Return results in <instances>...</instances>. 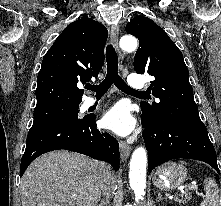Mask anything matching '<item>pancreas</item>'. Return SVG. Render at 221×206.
I'll return each instance as SVG.
<instances>
[{
  "mask_svg": "<svg viewBox=\"0 0 221 206\" xmlns=\"http://www.w3.org/2000/svg\"><path fill=\"white\" fill-rule=\"evenodd\" d=\"M181 198H176V201H178L179 203H186L187 201L191 200V195H189L188 193H182L180 195Z\"/></svg>",
  "mask_w": 221,
  "mask_h": 206,
  "instance_id": "1",
  "label": "pancreas"
}]
</instances>
